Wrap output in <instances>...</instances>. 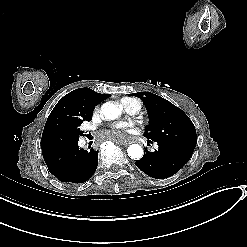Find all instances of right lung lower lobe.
Returning a JSON list of instances; mask_svg holds the SVG:
<instances>
[{
    "instance_id": "98d812e1",
    "label": "right lung lower lobe",
    "mask_w": 247,
    "mask_h": 247,
    "mask_svg": "<svg viewBox=\"0 0 247 247\" xmlns=\"http://www.w3.org/2000/svg\"><path fill=\"white\" fill-rule=\"evenodd\" d=\"M42 154L49 172L61 182H86L98 165V151L79 149L78 142Z\"/></svg>"
}]
</instances>
